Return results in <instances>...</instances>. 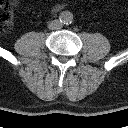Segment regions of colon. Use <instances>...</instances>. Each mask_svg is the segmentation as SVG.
<instances>
[{
  "label": "colon",
  "mask_w": 128,
  "mask_h": 128,
  "mask_svg": "<svg viewBox=\"0 0 128 128\" xmlns=\"http://www.w3.org/2000/svg\"><path fill=\"white\" fill-rule=\"evenodd\" d=\"M13 21V7L8 0H0V30H8Z\"/></svg>",
  "instance_id": "obj_1"
}]
</instances>
